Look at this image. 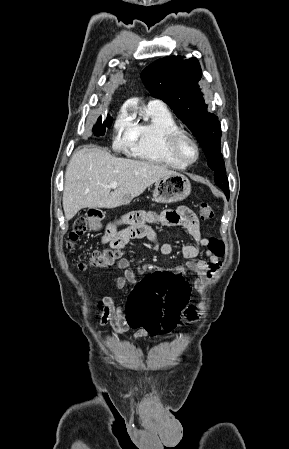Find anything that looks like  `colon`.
I'll use <instances>...</instances> for the list:
<instances>
[{"label": "colon", "mask_w": 289, "mask_h": 449, "mask_svg": "<svg viewBox=\"0 0 289 449\" xmlns=\"http://www.w3.org/2000/svg\"><path fill=\"white\" fill-rule=\"evenodd\" d=\"M199 215L202 220L214 217V211L208 203L199 205ZM88 227L86 218H78L69 233V245L72 246L85 234ZM209 250L216 256L224 254V243L216 238L208 239ZM121 252L113 247L96 250L92 253L89 263L79 262L78 268L83 270L87 266L108 268L117 263ZM189 286L186 280L176 271L164 269L163 272H146L134 284L128 301L125 302L127 319L132 328L144 329L151 336H156L161 330L171 332L179 323L181 314L187 307Z\"/></svg>", "instance_id": "obj_1"}]
</instances>
